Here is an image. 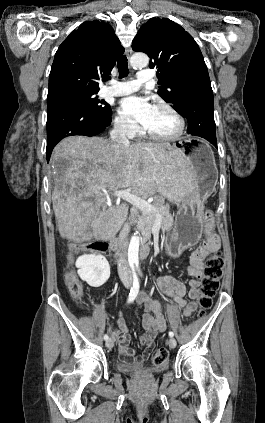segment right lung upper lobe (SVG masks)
Listing matches in <instances>:
<instances>
[{"label": "right lung upper lobe", "mask_w": 265, "mask_h": 423, "mask_svg": "<svg viewBox=\"0 0 265 423\" xmlns=\"http://www.w3.org/2000/svg\"><path fill=\"white\" fill-rule=\"evenodd\" d=\"M124 49L110 24L82 23L59 46L49 75L48 96L71 90L99 91Z\"/></svg>", "instance_id": "cb5924a9"}]
</instances>
